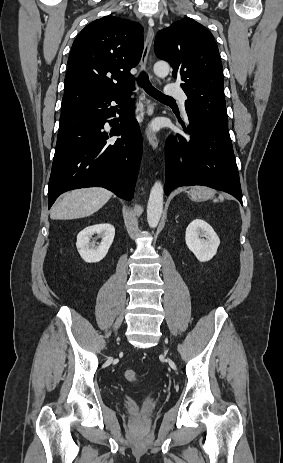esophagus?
I'll use <instances>...</instances> for the list:
<instances>
[{
	"instance_id": "obj_1",
	"label": "esophagus",
	"mask_w": 283,
	"mask_h": 463,
	"mask_svg": "<svg viewBox=\"0 0 283 463\" xmlns=\"http://www.w3.org/2000/svg\"><path fill=\"white\" fill-rule=\"evenodd\" d=\"M153 24H154L153 21L150 20L145 43H144L143 54H142V58L140 62L142 69H145L148 64L149 53H150L151 46H152L153 39H154ZM146 105H147V115L150 117L153 114L154 107L149 101L146 102ZM146 137L148 139L149 144L152 146V148L156 149L158 147V138L155 132L150 128L149 125L146 128Z\"/></svg>"
}]
</instances>
